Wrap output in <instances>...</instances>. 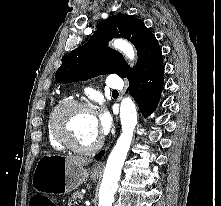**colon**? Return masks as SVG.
Here are the masks:
<instances>
[{
  "label": "colon",
  "instance_id": "5ec220e1",
  "mask_svg": "<svg viewBox=\"0 0 221 206\" xmlns=\"http://www.w3.org/2000/svg\"><path fill=\"white\" fill-rule=\"evenodd\" d=\"M29 206H55V204L45 196L34 195L30 200Z\"/></svg>",
  "mask_w": 221,
  "mask_h": 206
}]
</instances>
